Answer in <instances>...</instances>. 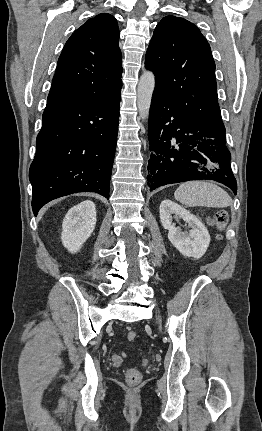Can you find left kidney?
I'll list each match as a JSON object with an SVG mask.
<instances>
[{"label": "left kidney", "mask_w": 262, "mask_h": 431, "mask_svg": "<svg viewBox=\"0 0 262 431\" xmlns=\"http://www.w3.org/2000/svg\"><path fill=\"white\" fill-rule=\"evenodd\" d=\"M183 219L189 231L182 232L176 227L173 219ZM160 220L164 229L168 230V239L172 245L184 256L201 258L210 243V235L204 224L189 211L171 200H164L160 204Z\"/></svg>", "instance_id": "5707ae66"}]
</instances>
